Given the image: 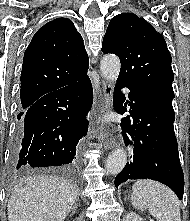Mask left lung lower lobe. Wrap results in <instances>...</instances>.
Wrapping results in <instances>:
<instances>
[{
  "mask_svg": "<svg viewBox=\"0 0 190 221\" xmlns=\"http://www.w3.org/2000/svg\"><path fill=\"white\" fill-rule=\"evenodd\" d=\"M122 87L130 89L131 117H124L121 126L125 143L132 146L133 160L116 176L115 186L118 188L128 179L148 178L167 185L182 199L184 175L173 127V98L117 81L113 101L119 114L127 111L123 107L125 96L121 92Z\"/></svg>",
  "mask_w": 190,
  "mask_h": 221,
  "instance_id": "1",
  "label": "left lung lower lobe"
}]
</instances>
